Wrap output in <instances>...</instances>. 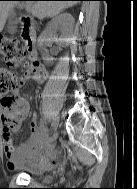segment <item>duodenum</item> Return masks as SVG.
<instances>
[{"label":"duodenum","instance_id":"1","mask_svg":"<svg viewBox=\"0 0 137 189\" xmlns=\"http://www.w3.org/2000/svg\"><path fill=\"white\" fill-rule=\"evenodd\" d=\"M21 26V38L25 47V50L28 52L31 57L33 64L36 63V33L34 29V22L28 18H20Z\"/></svg>","mask_w":137,"mask_h":189}]
</instances>
